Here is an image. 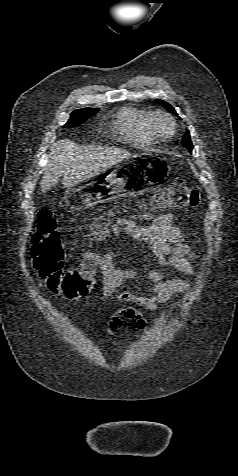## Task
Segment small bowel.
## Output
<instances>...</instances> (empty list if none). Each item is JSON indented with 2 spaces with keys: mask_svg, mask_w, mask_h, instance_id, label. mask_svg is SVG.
<instances>
[{
  "mask_svg": "<svg viewBox=\"0 0 238 476\" xmlns=\"http://www.w3.org/2000/svg\"><path fill=\"white\" fill-rule=\"evenodd\" d=\"M149 218L148 214L120 218L116 223L107 225L101 233L92 232L90 239L126 235L133 242L144 245L146 251L157 259L161 267L192 276L194 254L185 241L181 227L172 223L170 214L152 217L148 223L138 222ZM113 258V251L99 255L93 250H88L82 254L83 269L90 267L100 269L103 294L106 298L112 297L116 289L123 287L136 277L135 269L116 268L113 265ZM146 280L147 282L143 284L147 291L145 295L122 291L117 295V299L153 311L166 303L174 294L186 292L190 288L189 282L180 279L166 280L161 269L148 268ZM92 289L93 286L74 293H60L68 300L80 302L90 296Z\"/></svg>",
  "mask_w": 238,
  "mask_h": 476,
  "instance_id": "obj_1",
  "label": "small bowel"
}]
</instances>
